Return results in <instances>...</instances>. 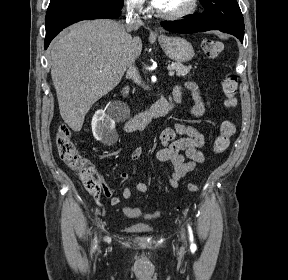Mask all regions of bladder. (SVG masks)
<instances>
[{
    "instance_id": "1",
    "label": "bladder",
    "mask_w": 288,
    "mask_h": 280,
    "mask_svg": "<svg viewBox=\"0 0 288 280\" xmlns=\"http://www.w3.org/2000/svg\"><path fill=\"white\" fill-rule=\"evenodd\" d=\"M128 229L132 232L145 233V232H151L153 230V227L149 224L136 223L128 226Z\"/></svg>"
}]
</instances>
